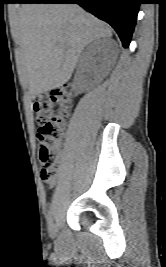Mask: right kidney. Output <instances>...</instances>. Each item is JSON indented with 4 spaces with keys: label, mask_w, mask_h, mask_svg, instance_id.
Wrapping results in <instances>:
<instances>
[{
    "label": "right kidney",
    "mask_w": 166,
    "mask_h": 267,
    "mask_svg": "<svg viewBox=\"0 0 166 267\" xmlns=\"http://www.w3.org/2000/svg\"><path fill=\"white\" fill-rule=\"evenodd\" d=\"M103 47L104 46L101 41H94L87 47L86 52L82 55L81 67L78 72V78L76 79V86L79 90L84 91L88 88L90 82L86 80L82 75L84 72V68L89 65V63H94V61L91 62L90 59L92 58V56L100 54L103 51ZM96 72H100L99 67L96 68Z\"/></svg>",
    "instance_id": "ca27d5eb"
}]
</instances>
